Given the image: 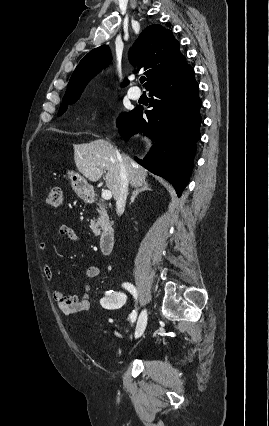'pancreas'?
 <instances>
[{
    "label": "pancreas",
    "mask_w": 269,
    "mask_h": 426,
    "mask_svg": "<svg viewBox=\"0 0 269 426\" xmlns=\"http://www.w3.org/2000/svg\"><path fill=\"white\" fill-rule=\"evenodd\" d=\"M97 211L99 213V217H98L97 222L94 219L90 223V228L95 235H99V233H100V230L98 228L99 224H108L109 223V216H108L107 211H106V204L103 203V202H100L99 209H97Z\"/></svg>",
    "instance_id": "obj_1"
}]
</instances>
